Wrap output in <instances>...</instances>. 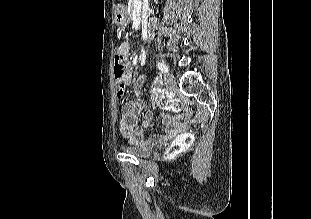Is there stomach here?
Instances as JSON below:
<instances>
[{"mask_svg":"<svg viewBox=\"0 0 311 219\" xmlns=\"http://www.w3.org/2000/svg\"><path fill=\"white\" fill-rule=\"evenodd\" d=\"M117 23L120 25H125L129 22V16L126 12H120L116 15Z\"/></svg>","mask_w":311,"mask_h":219,"instance_id":"obj_1","label":"stomach"}]
</instances>
